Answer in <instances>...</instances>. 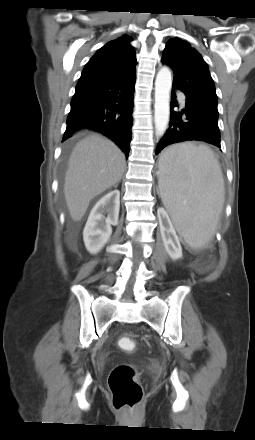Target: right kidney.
Returning a JSON list of instances; mask_svg holds the SVG:
<instances>
[{
	"instance_id": "1",
	"label": "right kidney",
	"mask_w": 255,
	"mask_h": 440,
	"mask_svg": "<svg viewBox=\"0 0 255 440\" xmlns=\"http://www.w3.org/2000/svg\"><path fill=\"white\" fill-rule=\"evenodd\" d=\"M119 208L120 191L117 189L104 195L94 205L83 230L84 244L89 253H98L108 242L112 234L111 226L118 224Z\"/></svg>"
}]
</instances>
